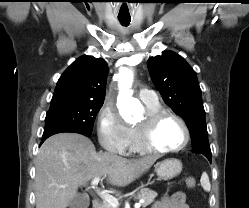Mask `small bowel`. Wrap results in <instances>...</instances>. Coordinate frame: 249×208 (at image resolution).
I'll list each match as a JSON object with an SVG mask.
<instances>
[{"label": "small bowel", "mask_w": 249, "mask_h": 208, "mask_svg": "<svg viewBox=\"0 0 249 208\" xmlns=\"http://www.w3.org/2000/svg\"><path fill=\"white\" fill-rule=\"evenodd\" d=\"M151 208H189L185 202L183 192H175L170 196H164L157 201Z\"/></svg>", "instance_id": "small-bowel-1"}]
</instances>
